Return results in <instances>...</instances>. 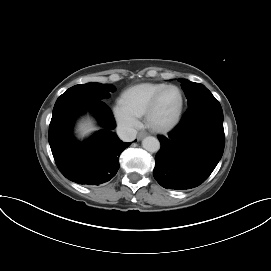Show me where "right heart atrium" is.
Instances as JSON below:
<instances>
[{"mask_svg":"<svg viewBox=\"0 0 271 271\" xmlns=\"http://www.w3.org/2000/svg\"><path fill=\"white\" fill-rule=\"evenodd\" d=\"M118 125L127 133H133L139 127L138 117L130 113L120 102L113 108Z\"/></svg>","mask_w":271,"mask_h":271,"instance_id":"obj_1","label":"right heart atrium"}]
</instances>
